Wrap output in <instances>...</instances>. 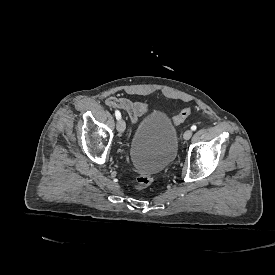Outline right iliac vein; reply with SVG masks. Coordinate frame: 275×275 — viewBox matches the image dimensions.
I'll return each instance as SVG.
<instances>
[{
	"mask_svg": "<svg viewBox=\"0 0 275 275\" xmlns=\"http://www.w3.org/2000/svg\"><path fill=\"white\" fill-rule=\"evenodd\" d=\"M125 127H126V124H125L124 120H119L117 122V130H118L119 134L124 133Z\"/></svg>",
	"mask_w": 275,
	"mask_h": 275,
	"instance_id": "1",
	"label": "right iliac vein"
}]
</instances>
